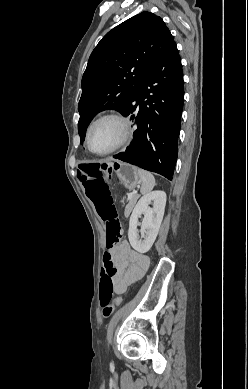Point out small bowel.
I'll return each instance as SVG.
<instances>
[{"label":"small bowel","instance_id":"small-bowel-1","mask_svg":"<svg viewBox=\"0 0 248 389\" xmlns=\"http://www.w3.org/2000/svg\"><path fill=\"white\" fill-rule=\"evenodd\" d=\"M109 253L117 268V275L113 281L114 293L121 295L128 286L145 275L150 259L146 254L134 250L126 240L112 247Z\"/></svg>","mask_w":248,"mask_h":389}]
</instances>
